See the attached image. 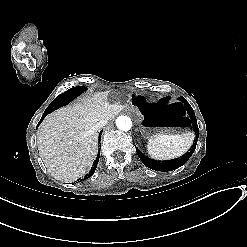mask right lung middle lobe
I'll return each instance as SVG.
<instances>
[{
    "label": "right lung middle lobe",
    "mask_w": 247,
    "mask_h": 247,
    "mask_svg": "<svg viewBox=\"0 0 247 247\" xmlns=\"http://www.w3.org/2000/svg\"><path fill=\"white\" fill-rule=\"evenodd\" d=\"M85 90H86V87H83V86H78V87L68 89L66 92L56 97L52 101V103L46 108L45 112L47 114L51 113L52 111L58 109L59 107L69 103L72 99L80 95Z\"/></svg>",
    "instance_id": "obj_1"
}]
</instances>
